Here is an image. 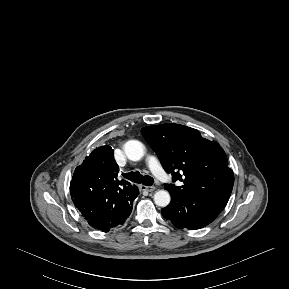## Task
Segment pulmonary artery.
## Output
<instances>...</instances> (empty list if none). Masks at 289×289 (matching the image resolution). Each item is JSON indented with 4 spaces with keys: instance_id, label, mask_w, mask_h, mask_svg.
I'll return each instance as SVG.
<instances>
[{
    "instance_id": "obj_1",
    "label": "pulmonary artery",
    "mask_w": 289,
    "mask_h": 289,
    "mask_svg": "<svg viewBox=\"0 0 289 289\" xmlns=\"http://www.w3.org/2000/svg\"><path fill=\"white\" fill-rule=\"evenodd\" d=\"M147 163H148V167L149 169L152 171V173L161 181H167L168 176L165 173L164 169L162 168L160 162L158 161V159L153 156L150 155L147 158Z\"/></svg>"
}]
</instances>
